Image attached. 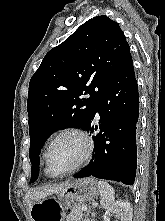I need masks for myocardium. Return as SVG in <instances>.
I'll list each match as a JSON object with an SVG mask.
<instances>
[{"mask_svg": "<svg viewBox=\"0 0 165 221\" xmlns=\"http://www.w3.org/2000/svg\"><path fill=\"white\" fill-rule=\"evenodd\" d=\"M69 134L76 135L83 141L84 153H83L81 159L72 168L65 170V171L57 172V171L53 170V168L50 164L49 152H50L52 145L54 144V142L57 139H59L62 136H65V135H69ZM92 153H93V142H92L90 136L81 128L67 127L65 129L60 130L58 133H56L51 138L49 143L47 144V147H46L45 153H44L45 166H46L48 172L52 176L59 177V176L69 175V174H72V173L76 172L77 170H79L89 160Z\"/></svg>", "mask_w": 165, "mask_h": 221, "instance_id": "obj_1", "label": "myocardium"}]
</instances>
